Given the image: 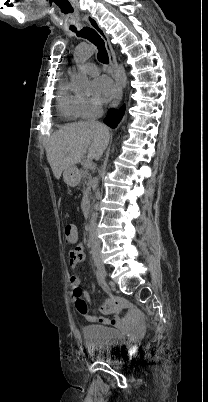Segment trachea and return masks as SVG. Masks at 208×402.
Segmentation results:
<instances>
[{"label": "trachea", "instance_id": "3493384b", "mask_svg": "<svg viewBox=\"0 0 208 402\" xmlns=\"http://www.w3.org/2000/svg\"><path fill=\"white\" fill-rule=\"evenodd\" d=\"M70 30H72V32H76L78 37L87 38V40L96 45L98 49L97 58L99 62L108 64L109 58L105 48L104 40L95 30H93V28L83 27L82 30L77 31L76 27H70Z\"/></svg>", "mask_w": 208, "mask_h": 402}]
</instances>
